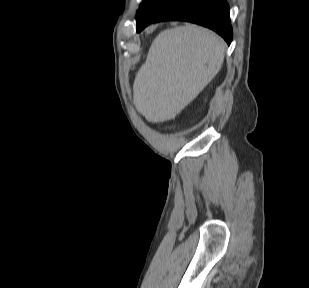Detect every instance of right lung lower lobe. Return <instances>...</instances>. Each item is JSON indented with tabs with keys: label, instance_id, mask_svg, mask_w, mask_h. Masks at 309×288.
Returning a JSON list of instances; mask_svg holds the SVG:
<instances>
[{
	"label": "right lung lower lobe",
	"instance_id": "right-lung-lower-lobe-1",
	"mask_svg": "<svg viewBox=\"0 0 309 288\" xmlns=\"http://www.w3.org/2000/svg\"><path fill=\"white\" fill-rule=\"evenodd\" d=\"M166 20L196 23L214 30L229 45L232 41L233 33L230 24L229 5L226 0H180L158 14L151 23Z\"/></svg>",
	"mask_w": 309,
	"mask_h": 288
}]
</instances>
